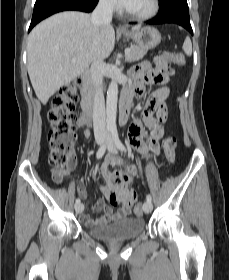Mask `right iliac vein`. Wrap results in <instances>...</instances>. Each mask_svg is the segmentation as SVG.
<instances>
[{
	"mask_svg": "<svg viewBox=\"0 0 229 280\" xmlns=\"http://www.w3.org/2000/svg\"><path fill=\"white\" fill-rule=\"evenodd\" d=\"M103 138L97 140V143L101 145L103 143ZM84 210V205L82 203L75 205V211L77 214L81 213Z\"/></svg>",
	"mask_w": 229,
	"mask_h": 280,
	"instance_id": "1",
	"label": "right iliac vein"
}]
</instances>
